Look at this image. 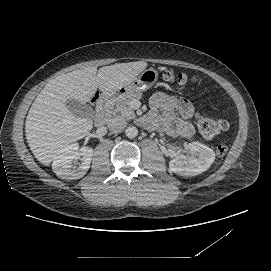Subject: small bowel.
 Listing matches in <instances>:
<instances>
[{"label": "small bowel", "instance_id": "1", "mask_svg": "<svg viewBox=\"0 0 271 271\" xmlns=\"http://www.w3.org/2000/svg\"><path fill=\"white\" fill-rule=\"evenodd\" d=\"M152 117L157 119L164 131L172 136L190 137L194 128L190 119L194 117V106L185 98L164 92L155 93L150 99Z\"/></svg>", "mask_w": 271, "mask_h": 271}]
</instances>
